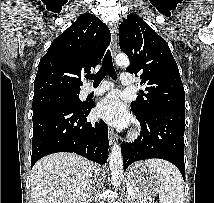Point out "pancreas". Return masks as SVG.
Wrapping results in <instances>:
<instances>
[{"instance_id":"obj_1","label":"pancreas","mask_w":214,"mask_h":203,"mask_svg":"<svg viewBox=\"0 0 214 203\" xmlns=\"http://www.w3.org/2000/svg\"><path fill=\"white\" fill-rule=\"evenodd\" d=\"M130 203H148L146 198H142L140 195L136 194L133 190V194L130 198Z\"/></svg>"}]
</instances>
